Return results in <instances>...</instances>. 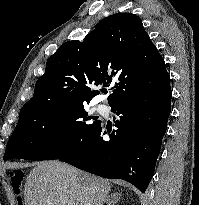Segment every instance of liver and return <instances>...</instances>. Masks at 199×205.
<instances>
[{
	"label": "liver",
	"mask_w": 199,
	"mask_h": 205,
	"mask_svg": "<svg viewBox=\"0 0 199 205\" xmlns=\"http://www.w3.org/2000/svg\"><path fill=\"white\" fill-rule=\"evenodd\" d=\"M108 180L82 172L59 161L36 163L26 178V205H112L119 196L109 195Z\"/></svg>",
	"instance_id": "1"
}]
</instances>
